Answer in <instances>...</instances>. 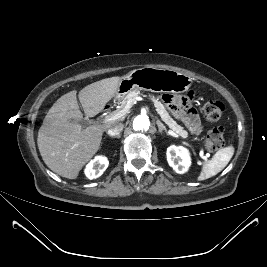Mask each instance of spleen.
<instances>
[{
	"label": "spleen",
	"instance_id": "3e777b00",
	"mask_svg": "<svg viewBox=\"0 0 267 267\" xmlns=\"http://www.w3.org/2000/svg\"><path fill=\"white\" fill-rule=\"evenodd\" d=\"M234 154V147L227 146L218 150L211 160L203 165L202 171L198 176L199 181L211 178L221 172L229 163Z\"/></svg>",
	"mask_w": 267,
	"mask_h": 267
}]
</instances>
